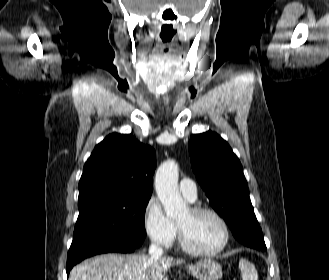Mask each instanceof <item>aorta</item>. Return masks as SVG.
<instances>
[{"label": "aorta", "mask_w": 329, "mask_h": 280, "mask_svg": "<svg viewBox=\"0 0 329 280\" xmlns=\"http://www.w3.org/2000/svg\"><path fill=\"white\" fill-rule=\"evenodd\" d=\"M179 168L174 160H167L157 169L155 189L167 217L177 218L187 213V204L178 190Z\"/></svg>", "instance_id": "obj_1"}]
</instances>
